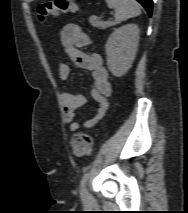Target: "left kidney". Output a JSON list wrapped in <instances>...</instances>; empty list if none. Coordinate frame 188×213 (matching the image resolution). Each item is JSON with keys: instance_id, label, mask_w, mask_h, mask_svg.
Here are the masks:
<instances>
[{"instance_id": "1", "label": "left kidney", "mask_w": 188, "mask_h": 213, "mask_svg": "<svg viewBox=\"0 0 188 213\" xmlns=\"http://www.w3.org/2000/svg\"><path fill=\"white\" fill-rule=\"evenodd\" d=\"M140 29L136 24H126L109 36L105 49L107 66L115 77H122L130 69L138 47Z\"/></svg>"}]
</instances>
